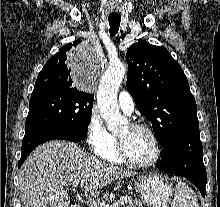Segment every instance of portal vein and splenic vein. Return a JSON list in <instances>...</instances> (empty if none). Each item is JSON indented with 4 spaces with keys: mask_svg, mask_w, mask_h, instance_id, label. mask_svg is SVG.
Instances as JSON below:
<instances>
[{
    "mask_svg": "<svg viewBox=\"0 0 220 207\" xmlns=\"http://www.w3.org/2000/svg\"><path fill=\"white\" fill-rule=\"evenodd\" d=\"M79 184V181L75 180L71 183V187L73 189H75ZM127 202V198L126 197H123V198H120V200L116 201L115 203L111 204V205H106L105 207H119L120 205H123L124 203Z\"/></svg>",
    "mask_w": 220,
    "mask_h": 207,
    "instance_id": "portal-vein-and-splenic-vein-1",
    "label": "portal vein and splenic vein"
}]
</instances>
